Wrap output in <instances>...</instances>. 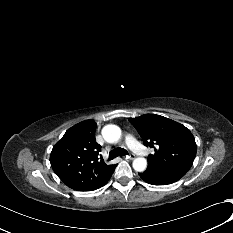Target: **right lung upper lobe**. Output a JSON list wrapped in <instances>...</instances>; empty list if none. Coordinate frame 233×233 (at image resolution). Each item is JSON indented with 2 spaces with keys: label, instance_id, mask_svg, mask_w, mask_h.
I'll return each instance as SVG.
<instances>
[{
  "label": "right lung upper lobe",
  "instance_id": "1",
  "mask_svg": "<svg viewBox=\"0 0 233 233\" xmlns=\"http://www.w3.org/2000/svg\"><path fill=\"white\" fill-rule=\"evenodd\" d=\"M96 127L92 120L75 125L51 151L54 172L74 190L93 191L102 187L116 168L99 158L101 146L95 141Z\"/></svg>",
  "mask_w": 233,
  "mask_h": 233
}]
</instances>
